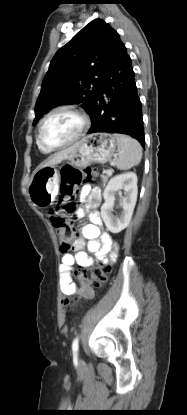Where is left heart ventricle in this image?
Segmentation results:
<instances>
[{"label": "left heart ventricle", "mask_w": 187, "mask_h": 415, "mask_svg": "<svg viewBox=\"0 0 187 415\" xmlns=\"http://www.w3.org/2000/svg\"><path fill=\"white\" fill-rule=\"evenodd\" d=\"M80 125L81 121L74 113L57 112L45 121L41 131L42 140L50 146L61 145L76 135Z\"/></svg>", "instance_id": "1"}]
</instances>
